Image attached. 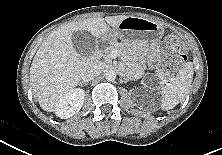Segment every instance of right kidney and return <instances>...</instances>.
<instances>
[{"mask_svg":"<svg viewBox=\"0 0 222 155\" xmlns=\"http://www.w3.org/2000/svg\"><path fill=\"white\" fill-rule=\"evenodd\" d=\"M85 99V91L75 88L64 95L55 107V114L61 119H68L82 108Z\"/></svg>","mask_w":222,"mask_h":155,"instance_id":"right-kidney-1","label":"right kidney"}]
</instances>
